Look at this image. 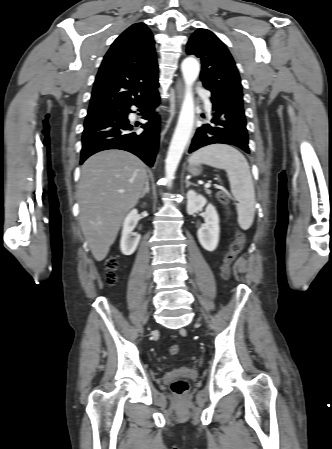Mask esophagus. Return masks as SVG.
<instances>
[{"instance_id": "esophagus-1", "label": "esophagus", "mask_w": 332, "mask_h": 449, "mask_svg": "<svg viewBox=\"0 0 332 449\" xmlns=\"http://www.w3.org/2000/svg\"><path fill=\"white\" fill-rule=\"evenodd\" d=\"M175 89H176L177 100L180 103V101H181V99L183 97V84H182V81L180 79L176 82Z\"/></svg>"}]
</instances>
